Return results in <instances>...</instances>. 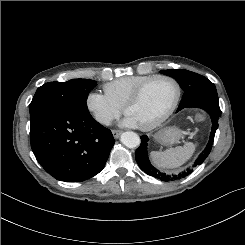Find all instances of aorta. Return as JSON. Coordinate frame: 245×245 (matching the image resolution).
I'll use <instances>...</instances> for the list:
<instances>
[{
  "label": "aorta",
  "instance_id": "obj_1",
  "mask_svg": "<svg viewBox=\"0 0 245 245\" xmlns=\"http://www.w3.org/2000/svg\"><path fill=\"white\" fill-rule=\"evenodd\" d=\"M120 141L128 148H135L140 144V137L132 131L122 133Z\"/></svg>",
  "mask_w": 245,
  "mask_h": 245
}]
</instances>
